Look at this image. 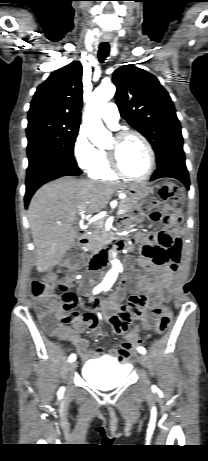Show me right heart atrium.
<instances>
[{"label":"right heart atrium","instance_id":"obj_1","mask_svg":"<svg viewBox=\"0 0 208 461\" xmlns=\"http://www.w3.org/2000/svg\"><path fill=\"white\" fill-rule=\"evenodd\" d=\"M73 155L78 167L88 170L96 161L97 149L83 131H80L73 144Z\"/></svg>","mask_w":208,"mask_h":461}]
</instances>
